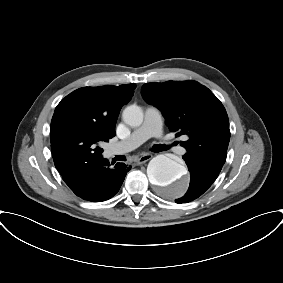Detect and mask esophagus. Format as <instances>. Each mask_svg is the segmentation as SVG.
<instances>
[{
	"label": "esophagus",
	"mask_w": 283,
	"mask_h": 283,
	"mask_svg": "<svg viewBox=\"0 0 283 283\" xmlns=\"http://www.w3.org/2000/svg\"><path fill=\"white\" fill-rule=\"evenodd\" d=\"M151 158H152L151 154H143L141 157H139L137 159L136 162H137L138 165H141V164H144L145 162L149 161Z\"/></svg>",
	"instance_id": "obj_1"
}]
</instances>
